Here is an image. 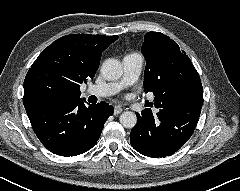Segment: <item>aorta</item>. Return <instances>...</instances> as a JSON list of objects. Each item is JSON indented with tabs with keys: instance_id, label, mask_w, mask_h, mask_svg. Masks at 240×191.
Masks as SVG:
<instances>
[{
	"instance_id": "1",
	"label": "aorta",
	"mask_w": 240,
	"mask_h": 191,
	"mask_svg": "<svg viewBox=\"0 0 240 191\" xmlns=\"http://www.w3.org/2000/svg\"><path fill=\"white\" fill-rule=\"evenodd\" d=\"M101 73L106 80H117L123 74V67L117 59H107L101 66ZM120 123L125 128H133L137 123V116L131 111L123 112L120 115Z\"/></svg>"
}]
</instances>
